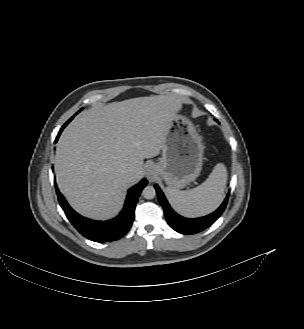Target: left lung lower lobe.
Listing matches in <instances>:
<instances>
[{
  "label": "left lung lower lobe",
  "mask_w": 304,
  "mask_h": 329,
  "mask_svg": "<svg viewBox=\"0 0 304 329\" xmlns=\"http://www.w3.org/2000/svg\"><path fill=\"white\" fill-rule=\"evenodd\" d=\"M155 189L158 195V200L164 209V214L166 216L169 225L175 231L187 235L201 232L204 229L211 226L224 212L228 201V195H227L221 206L213 213L200 218L188 219L174 212V210L170 207L168 201L166 200L163 192L158 187V185H155Z\"/></svg>",
  "instance_id": "1"
}]
</instances>
